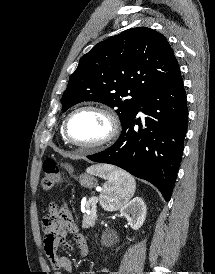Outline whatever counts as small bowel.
<instances>
[{
	"mask_svg": "<svg viewBox=\"0 0 215 274\" xmlns=\"http://www.w3.org/2000/svg\"><path fill=\"white\" fill-rule=\"evenodd\" d=\"M44 250L55 270L54 274L72 271L71 260L67 256L59 255L58 249L61 245L71 247L67 242L68 234L73 235L74 242L80 255L88 253V245L84 235L79 231L78 225L69 210L65 207L57 208L56 205L50 207L49 214L43 219ZM98 272H108L102 267ZM79 274H89L80 272Z\"/></svg>",
	"mask_w": 215,
	"mask_h": 274,
	"instance_id": "1",
	"label": "small bowel"
}]
</instances>
